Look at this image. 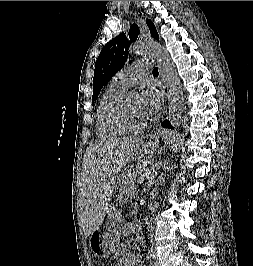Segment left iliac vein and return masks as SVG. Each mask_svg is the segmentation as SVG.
<instances>
[{
    "mask_svg": "<svg viewBox=\"0 0 253 266\" xmlns=\"http://www.w3.org/2000/svg\"><path fill=\"white\" fill-rule=\"evenodd\" d=\"M155 266H161L160 261L158 259L155 261Z\"/></svg>",
    "mask_w": 253,
    "mask_h": 266,
    "instance_id": "left-iliac-vein-1",
    "label": "left iliac vein"
}]
</instances>
